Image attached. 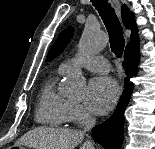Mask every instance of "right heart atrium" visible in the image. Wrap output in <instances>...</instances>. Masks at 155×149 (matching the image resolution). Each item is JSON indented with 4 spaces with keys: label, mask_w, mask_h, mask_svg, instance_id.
Wrapping results in <instances>:
<instances>
[{
    "label": "right heart atrium",
    "mask_w": 155,
    "mask_h": 149,
    "mask_svg": "<svg viewBox=\"0 0 155 149\" xmlns=\"http://www.w3.org/2000/svg\"><path fill=\"white\" fill-rule=\"evenodd\" d=\"M68 120L77 125H86L93 121V117L82 105L69 101Z\"/></svg>",
    "instance_id": "d8ad5b80"
}]
</instances>
